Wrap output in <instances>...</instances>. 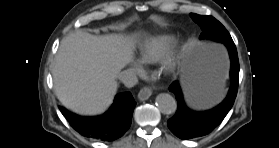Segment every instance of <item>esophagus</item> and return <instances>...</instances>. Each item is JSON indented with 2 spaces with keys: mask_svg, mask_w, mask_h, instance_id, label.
I'll return each instance as SVG.
<instances>
[{
  "mask_svg": "<svg viewBox=\"0 0 279 148\" xmlns=\"http://www.w3.org/2000/svg\"><path fill=\"white\" fill-rule=\"evenodd\" d=\"M152 95V90L149 87L142 88L138 93V99L140 101H145Z\"/></svg>",
  "mask_w": 279,
  "mask_h": 148,
  "instance_id": "1",
  "label": "esophagus"
}]
</instances>
